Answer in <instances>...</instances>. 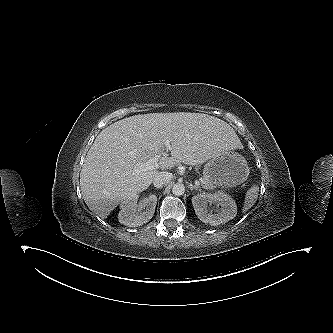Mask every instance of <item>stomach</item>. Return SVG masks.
Wrapping results in <instances>:
<instances>
[{
	"label": "stomach",
	"instance_id": "stomach-1",
	"mask_svg": "<svg viewBox=\"0 0 333 333\" xmlns=\"http://www.w3.org/2000/svg\"><path fill=\"white\" fill-rule=\"evenodd\" d=\"M249 175V167L242 155L229 151L210 159L204 166L203 178L213 186L225 188L242 184Z\"/></svg>",
	"mask_w": 333,
	"mask_h": 333
}]
</instances>
